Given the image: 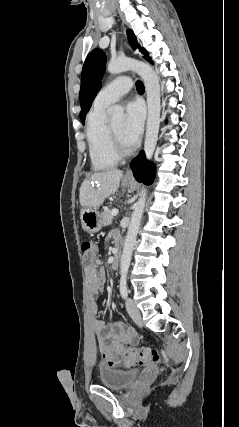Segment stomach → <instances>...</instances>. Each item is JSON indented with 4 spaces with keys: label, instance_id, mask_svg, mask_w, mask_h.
<instances>
[{
    "label": "stomach",
    "instance_id": "stomach-1",
    "mask_svg": "<svg viewBox=\"0 0 239 427\" xmlns=\"http://www.w3.org/2000/svg\"><path fill=\"white\" fill-rule=\"evenodd\" d=\"M124 187H132V182L123 181ZM81 223L85 231L88 233H96L103 226L102 215L95 208H83L80 214Z\"/></svg>",
    "mask_w": 239,
    "mask_h": 427
}]
</instances>
